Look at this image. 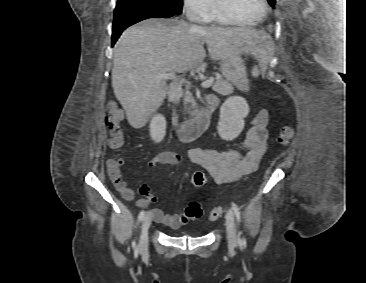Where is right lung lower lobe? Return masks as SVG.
<instances>
[{"label":"right lung lower lobe","instance_id":"98d812e1","mask_svg":"<svg viewBox=\"0 0 366 283\" xmlns=\"http://www.w3.org/2000/svg\"><path fill=\"white\" fill-rule=\"evenodd\" d=\"M175 14L169 13L158 7H128L115 9L113 31H112V46L115 44L122 31L127 27L148 18H168Z\"/></svg>","mask_w":366,"mask_h":283}]
</instances>
